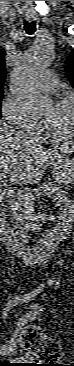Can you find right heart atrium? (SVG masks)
I'll return each mask as SVG.
<instances>
[{
	"instance_id": "d8ad5b80",
	"label": "right heart atrium",
	"mask_w": 74,
	"mask_h": 366,
	"mask_svg": "<svg viewBox=\"0 0 74 366\" xmlns=\"http://www.w3.org/2000/svg\"><path fill=\"white\" fill-rule=\"evenodd\" d=\"M1 112L8 123L21 128L29 134H37L38 129L25 114L19 99L13 95H7L2 103Z\"/></svg>"
}]
</instances>
